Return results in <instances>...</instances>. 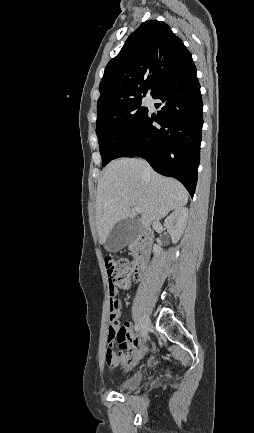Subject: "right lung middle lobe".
Listing matches in <instances>:
<instances>
[{
    "label": "right lung middle lobe",
    "instance_id": "right-lung-middle-lobe-1",
    "mask_svg": "<svg viewBox=\"0 0 254 433\" xmlns=\"http://www.w3.org/2000/svg\"><path fill=\"white\" fill-rule=\"evenodd\" d=\"M147 112L148 108L142 104V99L122 102L98 111L96 133L103 166L114 159L116 152Z\"/></svg>",
    "mask_w": 254,
    "mask_h": 433
}]
</instances>
